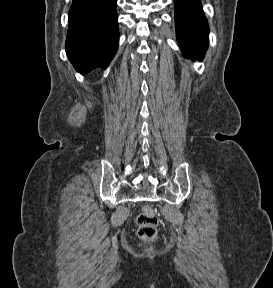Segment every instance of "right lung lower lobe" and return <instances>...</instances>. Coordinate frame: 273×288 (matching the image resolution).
Segmentation results:
<instances>
[{
    "label": "right lung lower lobe",
    "mask_w": 273,
    "mask_h": 288,
    "mask_svg": "<svg viewBox=\"0 0 273 288\" xmlns=\"http://www.w3.org/2000/svg\"><path fill=\"white\" fill-rule=\"evenodd\" d=\"M117 0H73L66 53L77 72L106 68L119 42Z\"/></svg>",
    "instance_id": "98d812e1"
}]
</instances>
